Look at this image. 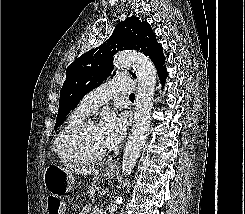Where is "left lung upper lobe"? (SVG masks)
I'll return each instance as SVG.
<instances>
[{
  "label": "left lung upper lobe",
  "mask_w": 245,
  "mask_h": 214,
  "mask_svg": "<svg viewBox=\"0 0 245 214\" xmlns=\"http://www.w3.org/2000/svg\"><path fill=\"white\" fill-rule=\"evenodd\" d=\"M134 49L148 56L155 64L158 74L166 68L163 48L157 43L147 21L131 16L119 22L110 36L100 46L91 49L77 58L66 70L57 120L58 128L69 112L92 89L100 86L113 71V56L119 50ZM134 78L136 75L131 73Z\"/></svg>",
  "instance_id": "5c2ea615"
}]
</instances>
